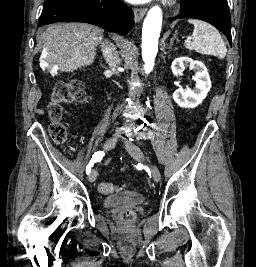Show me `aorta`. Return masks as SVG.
Masks as SVG:
<instances>
[{"label":"aorta","mask_w":256,"mask_h":267,"mask_svg":"<svg viewBox=\"0 0 256 267\" xmlns=\"http://www.w3.org/2000/svg\"><path fill=\"white\" fill-rule=\"evenodd\" d=\"M162 22L163 12L161 8L153 6L149 10L142 28V60L144 62V70H153L154 60L158 52Z\"/></svg>","instance_id":"aorta-1"}]
</instances>
